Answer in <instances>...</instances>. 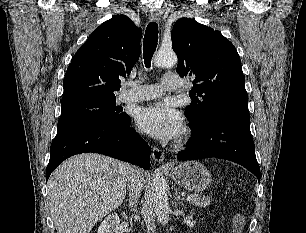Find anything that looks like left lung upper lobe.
Returning <instances> with one entry per match:
<instances>
[{
	"label": "left lung upper lobe",
	"instance_id": "left-lung-upper-lobe-1",
	"mask_svg": "<svg viewBox=\"0 0 306 233\" xmlns=\"http://www.w3.org/2000/svg\"><path fill=\"white\" fill-rule=\"evenodd\" d=\"M171 39L178 56L177 72L194 79L193 102L185 108L190 128L218 117L250 118L245 78L234 45L219 31L188 18L174 24Z\"/></svg>",
	"mask_w": 306,
	"mask_h": 233
}]
</instances>
